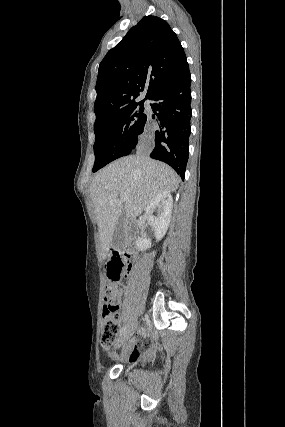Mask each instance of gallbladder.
Wrapping results in <instances>:
<instances>
[{
	"mask_svg": "<svg viewBox=\"0 0 285 427\" xmlns=\"http://www.w3.org/2000/svg\"><path fill=\"white\" fill-rule=\"evenodd\" d=\"M125 212H123L119 218V222L115 228L111 247L115 250H122L124 247V240H125V229H124V222H125Z\"/></svg>",
	"mask_w": 285,
	"mask_h": 427,
	"instance_id": "1",
	"label": "gallbladder"
}]
</instances>
